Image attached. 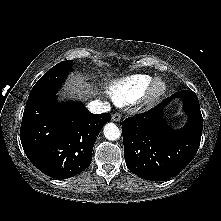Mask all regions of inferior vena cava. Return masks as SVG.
I'll return each instance as SVG.
<instances>
[{"label": "inferior vena cava", "mask_w": 221, "mask_h": 221, "mask_svg": "<svg viewBox=\"0 0 221 221\" xmlns=\"http://www.w3.org/2000/svg\"><path fill=\"white\" fill-rule=\"evenodd\" d=\"M87 107L89 111L94 114L109 112L111 108L108 102H102L99 100L91 101Z\"/></svg>", "instance_id": "602c4592"}]
</instances>
